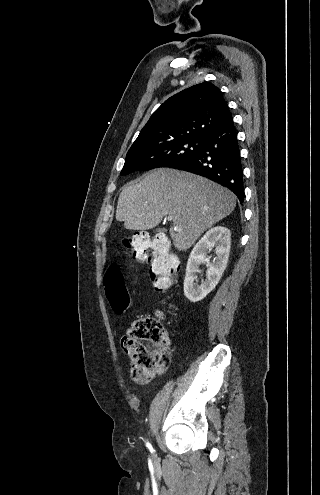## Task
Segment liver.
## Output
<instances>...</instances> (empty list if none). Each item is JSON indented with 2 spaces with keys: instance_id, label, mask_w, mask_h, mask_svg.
I'll return each instance as SVG.
<instances>
[{
  "instance_id": "6515ba94",
  "label": "liver",
  "mask_w": 320,
  "mask_h": 495,
  "mask_svg": "<svg viewBox=\"0 0 320 495\" xmlns=\"http://www.w3.org/2000/svg\"><path fill=\"white\" fill-rule=\"evenodd\" d=\"M236 206L228 189L187 172L157 169L138 183L126 184L118 198L116 220L128 230L155 228L172 216L170 235L178 250L189 249L200 235Z\"/></svg>"
}]
</instances>
